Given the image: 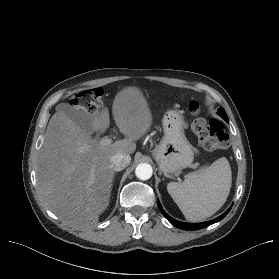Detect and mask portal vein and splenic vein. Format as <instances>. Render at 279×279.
Returning a JSON list of instances; mask_svg holds the SVG:
<instances>
[{
    "mask_svg": "<svg viewBox=\"0 0 279 279\" xmlns=\"http://www.w3.org/2000/svg\"><path fill=\"white\" fill-rule=\"evenodd\" d=\"M100 143H101L102 145H107V144H110V143H111V140H110V139H102V140L100 141Z\"/></svg>",
    "mask_w": 279,
    "mask_h": 279,
    "instance_id": "portal-vein-and-splenic-vein-1",
    "label": "portal vein and splenic vein"
}]
</instances>
